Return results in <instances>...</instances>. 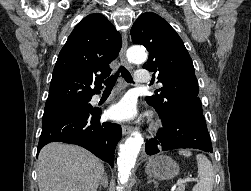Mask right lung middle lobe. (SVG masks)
I'll list each match as a JSON object with an SVG mask.
<instances>
[{
    "instance_id": "1",
    "label": "right lung middle lobe",
    "mask_w": 251,
    "mask_h": 191,
    "mask_svg": "<svg viewBox=\"0 0 251 191\" xmlns=\"http://www.w3.org/2000/svg\"><path fill=\"white\" fill-rule=\"evenodd\" d=\"M90 99L71 103L59 107H54L50 109H45L42 121L45 122L47 120L53 119L58 116L66 115L69 113H77V112H91L94 110L91 104L89 103Z\"/></svg>"
}]
</instances>
